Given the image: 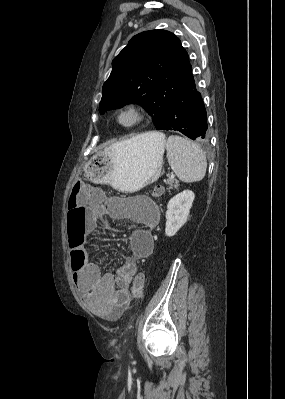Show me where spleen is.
I'll return each mask as SVG.
<instances>
[{"label":"spleen","mask_w":285,"mask_h":399,"mask_svg":"<svg viewBox=\"0 0 285 399\" xmlns=\"http://www.w3.org/2000/svg\"><path fill=\"white\" fill-rule=\"evenodd\" d=\"M167 158L174 173L185 183L203 179L207 160L198 144L187 138L171 135L166 143Z\"/></svg>","instance_id":"obj_1"}]
</instances>
